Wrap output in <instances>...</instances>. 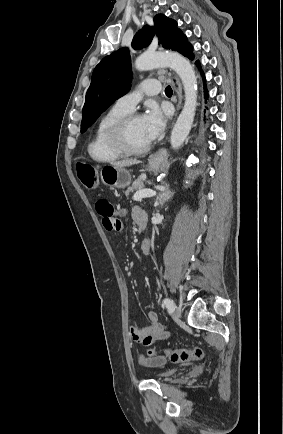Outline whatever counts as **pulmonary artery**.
Instances as JSON below:
<instances>
[{"label": "pulmonary artery", "instance_id": "obj_1", "mask_svg": "<svg viewBox=\"0 0 283 434\" xmlns=\"http://www.w3.org/2000/svg\"><path fill=\"white\" fill-rule=\"evenodd\" d=\"M161 86L158 80L148 79L141 82L138 89L120 97L115 106L127 112H132L143 95H156L160 92Z\"/></svg>", "mask_w": 283, "mask_h": 434}]
</instances>
